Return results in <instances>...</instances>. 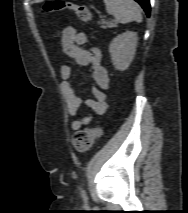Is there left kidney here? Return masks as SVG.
<instances>
[{
	"label": "left kidney",
	"instance_id": "obj_1",
	"mask_svg": "<svg viewBox=\"0 0 188 213\" xmlns=\"http://www.w3.org/2000/svg\"><path fill=\"white\" fill-rule=\"evenodd\" d=\"M138 37L134 32L126 31L115 37L109 45V52L115 69L124 71L132 62Z\"/></svg>",
	"mask_w": 188,
	"mask_h": 213
}]
</instances>
